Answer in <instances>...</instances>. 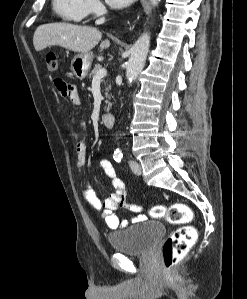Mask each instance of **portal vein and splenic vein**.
<instances>
[{
    "instance_id": "portal-vein-and-splenic-vein-1",
    "label": "portal vein and splenic vein",
    "mask_w": 247,
    "mask_h": 299,
    "mask_svg": "<svg viewBox=\"0 0 247 299\" xmlns=\"http://www.w3.org/2000/svg\"><path fill=\"white\" fill-rule=\"evenodd\" d=\"M107 74V70L105 68L100 69L96 75L94 76L93 80H100L105 77Z\"/></svg>"
}]
</instances>
